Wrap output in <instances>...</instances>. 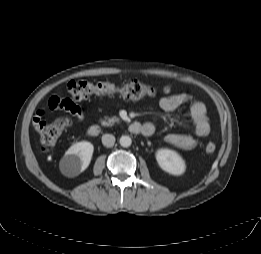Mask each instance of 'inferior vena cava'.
Segmentation results:
<instances>
[{
  "label": "inferior vena cava",
  "instance_id": "602c4592",
  "mask_svg": "<svg viewBox=\"0 0 261 254\" xmlns=\"http://www.w3.org/2000/svg\"><path fill=\"white\" fill-rule=\"evenodd\" d=\"M102 143L106 147H112L115 143V137L111 134H105L102 136Z\"/></svg>",
  "mask_w": 261,
  "mask_h": 254
}]
</instances>
